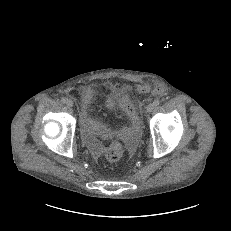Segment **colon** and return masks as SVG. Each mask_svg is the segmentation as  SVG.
Listing matches in <instances>:
<instances>
[{"mask_svg": "<svg viewBox=\"0 0 231 231\" xmlns=\"http://www.w3.org/2000/svg\"><path fill=\"white\" fill-rule=\"evenodd\" d=\"M138 89L141 92H148L150 90V86L148 84H142L138 87ZM124 91L125 90L123 88H120V87L116 88L117 93L122 94L124 93ZM154 93L158 95L161 94L162 93L161 87L156 86ZM123 108L126 111V113L129 115V117L131 118L133 124L137 125L139 123V118H138V115L134 107L130 104V102L125 101L123 103ZM123 152H124L123 144L119 141H113L106 150L105 158L107 159V161L114 163L121 159Z\"/></svg>", "mask_w": 231, "mask_h": 231, "instance_id": "1", "label": "colon"}]
</instances>
